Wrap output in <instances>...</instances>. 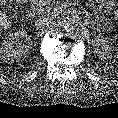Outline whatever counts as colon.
<instances>
[{
	"label": "colon",
	"instance_id": "obj_1",
	"mask_svg": "<svg viewBox=\"0 0 118 118\" xmlns=\"http://www.w3.org/2000/svg\"><path fill=\"white\" fill-rule=\"evenodd\" d=\"M10 2H18V1H21V0H8Z\"/></svg>",
	"mask_w": 118,
	"mask_h": 118
}]
</instances>
